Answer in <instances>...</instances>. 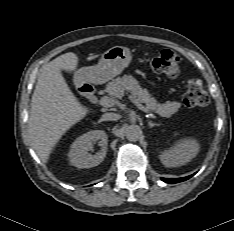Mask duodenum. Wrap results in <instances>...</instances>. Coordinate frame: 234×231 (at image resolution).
I'll return each mask as SVG.
<instances>
[{
  "mask_svg": "<svg viewBox=\"0 0 234 231\" xmlns=\"http://www.w3.org/2000/svg\"><path fill=\"white\" fill-rule=\"evenodd\" d=\"M78 89L82 92L88 99L93 100L95 98L94 87L87 82H78Z\"/></svg>",
  "mask_w": 234,
  "mask_h": 231,
  "instance_id": "duodenum-1",
  "label": "duodenum"
}]
</instances>
